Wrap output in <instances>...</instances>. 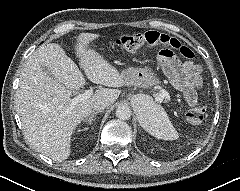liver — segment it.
<instances>
[{"mask_svg": "<svg viewBox=\"0 0 240 191\" xmlns=\"http://www.w3.org/2000/svg\"><path fill=\"white\" fill-rule=\"evenodd\" d=\"M98 37V34L82 33L76 38L74 47L82 70L95 84L124 86L119 71L89 48ZM84 84L82 72L58 44L41 46L24 64L16 91V108L24 136L37 151L55 161L69 157L73 131L90 115L93 103L104 100L112 105L121 93L118 89L99 88L90 98L71 108L70 96Z\"/></svg>", "mask_w": 240, "mask_h": 191, "instance_id": "6515ba94", "label": "liver"}]
</instances>
